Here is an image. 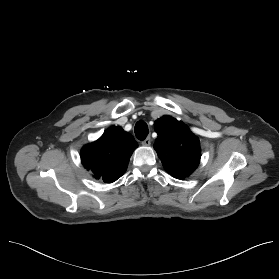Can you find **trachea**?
<instances>
[{
    "mask_svg": "<svg viewBox=\"0 0 279 279\" xmlns=\"http://www.w3.org/2000/svg\"><path fill=\"white\" fill-rule=\"evenodd\" d=\"M134 131L139 140H145L148 135V126L144 121H138L135 125Z\"/></svg>",
    "mask_w": 279,
    "mask_h": 279,
    "instance_id": "trachea-1",
    "label": "trachea"
}]
</instances>
